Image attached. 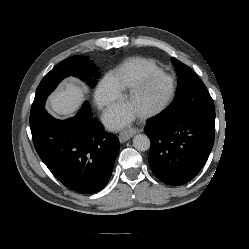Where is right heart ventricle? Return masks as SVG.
Masks as SVG:
<instances>
[{
    "instance_id": "1",
    "label": "right heart ventricle",
    "mask_w": 249,
    "mask_h": 249,
    "mask_svg": "<svg viewBox=\"0 0 249 249\" xmlns=\"http://www.w3.org/2000/svg\"><path fill=\"white\" fill-rule=\"evenodd\" d=\"M162 72V69L152 60L134 57L120 64L109 76L115 87L121 92L130 89L147 76Z\"/></svg>"
}]
</instances>
